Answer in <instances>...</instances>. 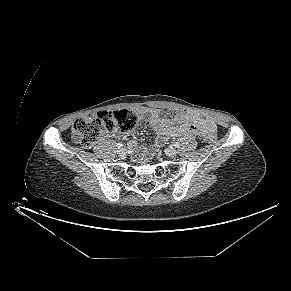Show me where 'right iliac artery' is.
<instances>
[{
    "mask_svg": "<svg viewBox=\"0 0 291 291\" xmlns=\"http://www.w3.org/2000/svg\"><path fill=\"white\" fill-rule=\"evenodd\" d=\"M123 145H124L123 143H120V142H119V143H117L116 146H117V148H121V147H123Z\"/></svg>",
    "mask_w": 291,
    "mask_h": 291,
    "instance_id": "1",
    "label": "right iliac artery"
}]
</instances>
